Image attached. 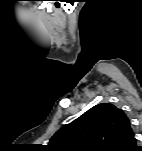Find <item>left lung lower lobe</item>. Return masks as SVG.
Here are the masks:
<instances>
[{
	"label": "left lung lower lobe",
	"mask_w": 142,
	"mask_h": 151,
	"mask_svg": "<svg viewBox=\"0 0 142 151\" xmlns=\"http://www.w3.org/2000/svg\"><path fill=\"white\" fill-rule=\"evenodd\" d=\"M142 148L140 149L137 145H136V139L135 136H133L130 141L128 142V144L126 145V147L124 148L123 151H141Z\"/></svg>",
	"instance_id": "0a47b994"
}]
</instances>
